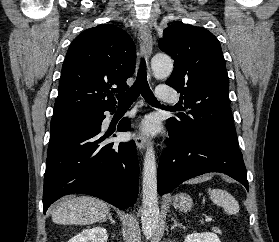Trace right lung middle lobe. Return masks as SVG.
I'll use <instances>...</instances> for the list:
<instances>
[{
    "mask_svg": "<svg viewBox=\"0 0 279 242\" xmlns=\"http://www.w3.org/2000/svg\"><path fill=\"white\" fill-rule=\"evenodd\" d=\"M90 115L89 112H77L52 117L50 137L57 136L69 129L85 126V121Z\"/></svg>",
    "mask_w": 279,
    "mask_h": 242,
    "instance_id": "obj_1",
    "label": "right lung middle lobe"
}]
</instances>
